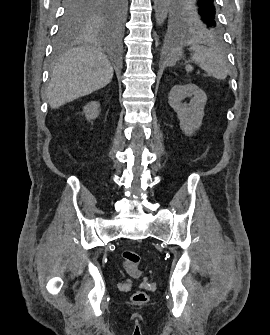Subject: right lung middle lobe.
I'll return each mask as SVG.
<instances>
[{
	"mask_svg": "<svg viewBox=\"0 0 270 335\" xmlns=\"http://www.w3.org/2000/svg\"><path fill=\"white\" fill-rule=\"evenodd\" d=\"M127 0H66L59 23L57 44L97 28L119 30L126 14Z\"/></svg>",
	"mask_w": 270,
	"mask_h": 335,
	"instance_id": "1",
	"label": "right lung middle lobe"
}]
</instances>
